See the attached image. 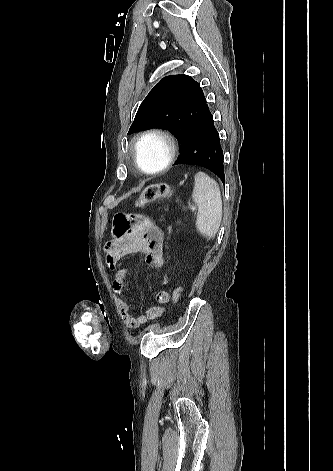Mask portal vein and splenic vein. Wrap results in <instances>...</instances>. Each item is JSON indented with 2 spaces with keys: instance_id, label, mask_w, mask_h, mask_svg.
Listing matches in <instances>:
<instances>
[{
  "instance_id": "18ae733b",
  "label": "portal vein and splenic vein",
  "mask_w": 333,
  "mask_h": 471,
  "mask_svg": "<svg viewBox=\"0 0 333 471\" xmlns=\"http://www.w3.org/2000/svg\"><path fill=\"white\" fill-rule=\"evenodd\" d=\"M195 209H196V207L193 206V207H192V210H195Z\"/></svg>"
}]
</instances>
